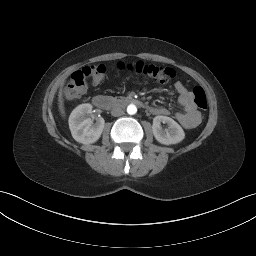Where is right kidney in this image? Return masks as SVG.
I'll use <instances>...</instances> for the list:
<instances>
[{"mask_svg":"<svg viewBox=\"0 0 256 256\" xmlns=\"http://www.w3.org/2000/svg\"><path fill=\"white\" fill-rule=\"evenodd\" d=\"M92 113V105L89 103L77 106L70 114L69 128L72 137L79 143L92 144L96 142L103 132L105 121L98 118L95 123L86 115Z\"/></svg>","mask_w":256,"mask_h":256,"instance_id":"obj_1","label":"right kidney"}]
</instances>
